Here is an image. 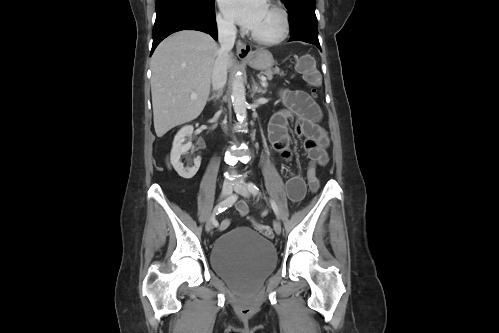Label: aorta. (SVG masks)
<instances>
[{
	"mask_svg": "<svg viewBox=\"0 0 499 333\" xmlns=\"http://www.w3.org/2000/svg\"><path fill=\"white\" fill-rule=\"evenodd\" d=\"M232 104L237 119L241 122L246 121L247 118V103L245 86L240 76H236L232 83Z\"/></svg>",
	"mask_w": 499,
	"mask_h": 333,
	"instance_id": "762f6f07",
	"label": "aorta"
}]
</instances>
